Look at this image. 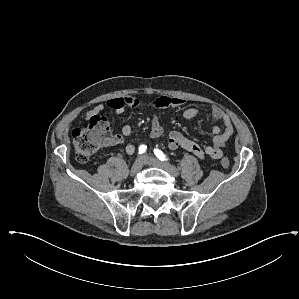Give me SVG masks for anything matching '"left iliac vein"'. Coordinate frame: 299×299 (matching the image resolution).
<instances>
[{
    "mask_svg": "<svg viewBox=\"0 0 299 299\" xmlns=\"http://www.w3.org/2000/svg\"><path fill=\"white\" fill-rule=\"evenodd\" d=\"M144 161L154 167L164 169L165 171H167L169 174H171L174 177L179 176L178 169L167 162H162L156 158L149 157L148 155L144 156Z\"/></svg>",
    "mask_w": 299,
    "mask_h": 299,
    "instance_id": "left-iliac-vein-1",
    "label": "left iliac vein"
}]
</instances>
